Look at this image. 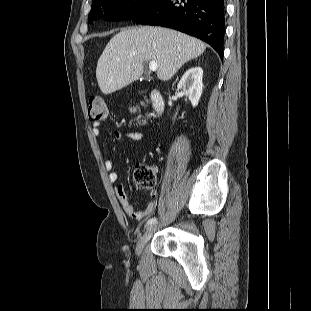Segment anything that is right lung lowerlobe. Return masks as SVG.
Listing matches in <instances>:
<instances>
[{
  "label": "right lung lower lobe",
  "instance_id": "obj_1",
  "mask_svg": "<svg viewBox=\"0 0 311 311\" xmlns=\"http://www.w3.org/2000/svg\"><path fill=\"white\" fill-rule=\"evenodd\" d=\"M131 20L195 36L211 45L223 58L224 0H159Z\"/></svg>",
  "mask_w": 311,
  "mask_h": 311
}]
</instances>
